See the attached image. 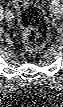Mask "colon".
Segmentation results:
<instances>
[{
  "label": "colon",
  "instance_id": "obj_1",
  "mask_svg": "<svg viewBox=\"0 0 63 107\" xmlns=\"http://www.w3.org/2000/svg\"><path fill=\"white\" fill-rule=\"evenodd\" d=\"M22 33V42L26 51L33 53L42 48L48 38V25L42 9L28 0H16Z\"/></svg>",
  "mask_w": 63,
  "mask_h": 107
}]
</instances>
